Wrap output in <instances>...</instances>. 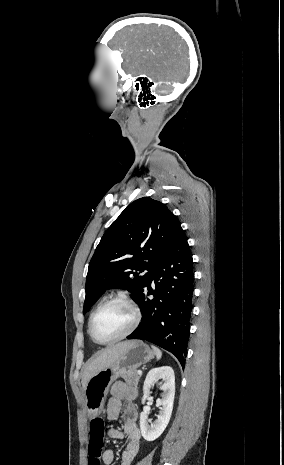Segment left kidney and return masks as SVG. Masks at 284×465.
Instances as JSON below:
<instances>
[{"instance_id":"obj_1","label":"left kidney","mask_w":284,"mask_h":465,"mask_svg":"<svg viewBox=\"0 0 284 465\" xmlns=\"http://www.w3.org/2000/svg\"><path fill=\"white\" fill-rule=\"evenodd\" d=\"M162 379L161 391H164L162 399H157L156 407H159V415H156V421L150 423L147 411L140 413V429L145 441H155L163 431H165L173 411L175 395V375L171 367H158L149 371L143 387L142 405H145L150 397V389L153 383ZM150 423V425H148Z\"/></svg>"}]
</instances>
